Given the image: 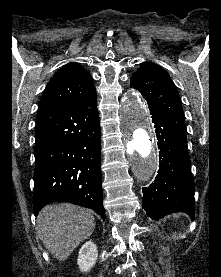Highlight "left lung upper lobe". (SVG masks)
I'll return each instance as SVG.
<instances>
[{"mask_svg": "<svg viewBox=\"0 0 221 277\" xmlns=\"http://www.w3.org/2000/svg\"><path fill=\"white\" fill-rule=\"evenodd\" d=\"M130 83L141 92L148 106L156 108L173 125L187 134L179 93L164 69L144 62L130 78Z\"/></svg>", "mask_w": 221, "mask_h": 277, "instance_id": "obj_1", "label": "left lung upper lobe"}]
</instances>
